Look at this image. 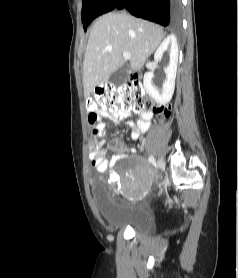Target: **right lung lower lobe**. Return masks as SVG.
Listing matches in <instances>:
<instances>
[{"label": "right lung lower lobe", "mask_w": 238, "mask_h": 278, "mask_svg": "<svg viewBox=\"0 0 238 278\" xmlns=\"http://www.w3.org/2000/svg\"><path fill=\"white\" fill-rule=\"evenodd\" d=\"M113 9H126L136 17L163 26H177L181 20L180 0H102L92 20Z\"/></svg>", "instance_id": "right-lung-lower-lobe-1"}]
</instances>
